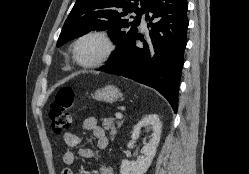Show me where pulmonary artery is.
I'll list each match as a JSON object with an SVG mask.
<instances>
[{
  "instance_id": "pulmonary-artery-1",
  "label": "pulmonary artery",
  "mask_w": 249,
  "mask_h": 174,
  "mask_svg": "<svg viewBox=\"0 0 249 174\" xmlns=\"http://www.w3.org/2000/svg\"><path fill=\"white\" fill-rule=\"evenodd\" d=\"M140 24H141V27L143 28V29H145L146 28V17H145V14H142V15H140Z\"/></svg>"
}]
</instances>
